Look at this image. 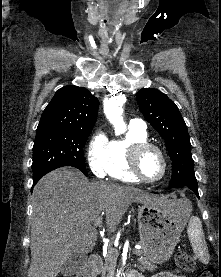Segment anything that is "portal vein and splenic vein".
I'll list each match as a JSON object with an SVG mask.
<instances>
[{
  "label": "portal vein and splenic vein",
  "instance_id": "1",
  "mask_svg": "<svg viewBox=\"0 0 221 277\" xmlns=\"http://www.w3.org/2000/svg\"><path fill=\"white\" fill-rule=\"evenodd\" d=\"M102 223V217H99L97 218L95 221H94V226H98ZM136 250H134V253H135Z\"/></svg>",
  "mask_w": 221,
  "mask_h": 277
}]
</instances>
